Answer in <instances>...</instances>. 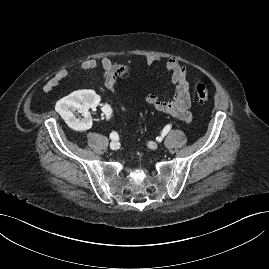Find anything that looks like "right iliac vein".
I'll return each mask as SVG.
<instances>
[{
    "label": "right iliac vein",
    "instance_id": "right-iliac-vein-1",
    "mask_svg": "<svg viewBox=\"0 0 269 269\" xmlns=\"http://www.w3.org/2000/svg\"><path fill=\"white\" fill-rule=\"evenodd\" d=\"M119 147H120V144H119V142H117V141H112V142L110 143V148H111L112 150H118Z\"/></svg>",
    "mask_w": 269,
    "mask_h": 269
}]
</instances>
